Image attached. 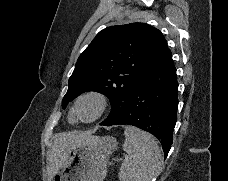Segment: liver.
Returning a JSON list of instances; mask_svg holds the SVG:
<instances>
[{
  "label": "liver",
  "instance_id": "liver-1",
  "mask_svg": "<svg viewBox=\"0 0 228 181\" xmlns=\"http://www.w3.org/2000/svg\"><path fill=\"white\" fill-rule=\"evenodd\" d=\"M91 139V133H57L47 153L48 181H53L54 175L67 163L69 153L75 145H88Z\"/></svg>",
  "mask_w": 228,
  "mask_h": 181
}]
</instances>
